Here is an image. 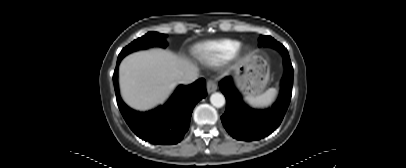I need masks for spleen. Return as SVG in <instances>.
Segmentation results:
<instances>
[{
  "instance_id": "obj_1",
  "label": "spleen",
  "mask_w": 406,
  "mask_h": 168,
  "mask_svg": "<svg viewBox=\"0 0 406 168\" xmlns=\"http://www.w3.org/2000/svg\"><path fill=\"white\" fill-rule=\"evenodd\" d=\"M276 94L277 90L275 88H270L261 95L246 96L245 101L252 107H266L274 101Z\"/></svg>"
}]
</instances>
